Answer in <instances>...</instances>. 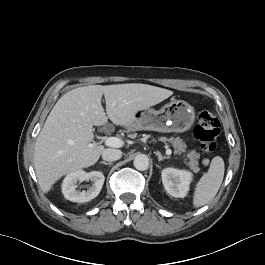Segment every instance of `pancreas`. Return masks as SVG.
Here are the masks:
<instances>
[{"label": "pancreas", "instance_id": "cf45deb5", "mask_svg": "<svg viewBox=\"0 0 265 265\" xmlns=\"http://www.w3.org/2000/svg\"><path fill=\"white\" fill-rule=\"evenodd\" d=\"M160 141L164 142V143H171V145L174 148V153L175 154H182L186 152V148L187 146L185 145V143L183 142L182 139H180L179 137H171V138H166V137H161L159 139ZM185 159H184V163L189 166V168L194 172V173H198L200 171V168L198 167V159L200 157V154H198L196 151L191 150L189 151L187 154H184Z\"/></svg>", "mask_w": 265, "mask_h": 265}]
</instances>
